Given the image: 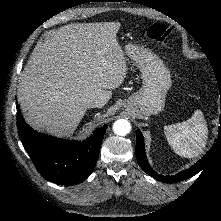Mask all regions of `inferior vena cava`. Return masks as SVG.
I'll use <instances>...</instances> for the list:
<instances>
[{"label": "inferior vena cava", "mask_w": 221, "mask_h": 221, "mask_svg": "<svg viewBox=\"0 0 221 221\" xmlns=\"http://www.w3.org/2000/svg\"><path fill=\"white\" fill-rule=\"evenodd\" d=\"M104 106V103L101 100H89L86 103L87 108H101Z\"/></svg>", "instance_id": "1"}]
</instances>
